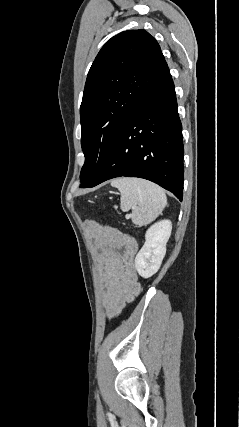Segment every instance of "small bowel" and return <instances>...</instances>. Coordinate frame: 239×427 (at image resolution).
<instances>
[{
    "label": "small bowel",
    "instance_id": "1",
    "mask_svg": "<svg viewBox=\"0 0 239 427\" xmlns=\"http://www.w3.org/2000/svg\"><path fill=\"white\" fill-rule=\"evenodd\" d=\"M87 225L92 244L99 252L98 262L104 282V308L113 317L140 292L135 268L138 247L131 237L115 228L96 226L91 221Z\"/></svg>",
    "mask_w": 239,
    "mask_h": 427
}]
</instances>
